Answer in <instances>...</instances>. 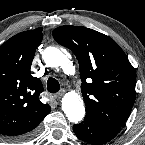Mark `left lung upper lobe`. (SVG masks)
I'll list each match as a JSON object with an SVG mask.
<instances>
[{
  "mask_svg": "<svg viewBox=\"0 0 145 145\" xmlns=\"http://www.w3.org/2000/svg\"><path fill=\"white\" fill-rule=\"evenodd\" d=\"M53 37L78 59L85 117L120 129L136 95V74L126 54L110 37L81 26L58 27Z\"/></svg>",
  "mask_w": 145,
  "mask_h": 145,
  "instance_id": "5c2ea615",
  "label": "left lung upper lobe"
}]
</instances>
